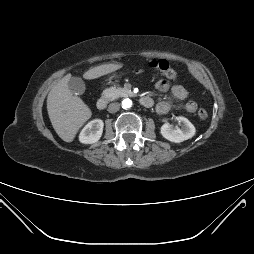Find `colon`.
<instances>
[{"mask_svg": "<svg viewBox=\"0 0 254 254\" xmlns=\"http://www.w3.org/2000/svg\"><path fill=\"white\" fill-rule=\"evenodd\" d=\"M150 66L164 75L170 80H176L178 75L177 72L171 67L168 61L166 60H152ZM198 117L201 120H206L208 118V113L205 109H200L198 111Z\"/></svg>", "mask_w": 254, "mask_h": 254, "instance_id": "1", "label": "colon"}]
</instances>
